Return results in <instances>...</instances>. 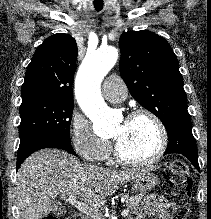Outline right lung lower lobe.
Segmentation results:
<instances>
[{"label":"right lung lower lobe","mask_w":211,"mask_h":219,"mask_svg":"<svg viewBox=\"0 0 211 219\" xmlns=\"http://www.w3.org/2000/svg\"><path fill=\"white\" fill-rule=\"evenodd\" d=\"M43 148H59L76 154L71 146V142L67 143L63 140L54 138V137H39L35 138L23 145L19 146L18 156H17V170L21 166L22 162L33 152L43 149Z\"/></svg>","instance_id":"98d812e1"}]
</instances>
